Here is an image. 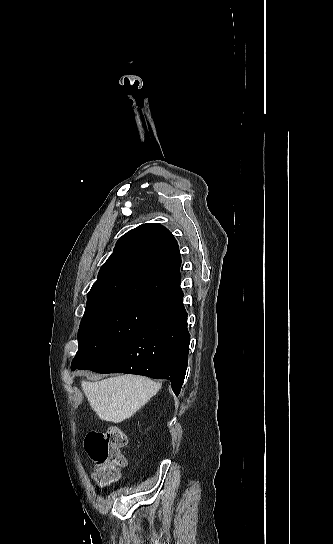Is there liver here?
Wrapping results in <instances>:
<instances>
[{"mask_svg":"<svg viewBox=\"0 0 333 544\" xmlns=\"http://www.w3.org/2000/svg\"><path fill=\"white\" fill-rule=\"evenodd\" d=\"M81 387L101 420L120 423L145 405L161 384L142 376L121 375L98 382L82 381Z\"/></svg>","mask_w":333,"mask_h":544,"instance_id":"6515ba94","label":"liver"}]
</instances>
